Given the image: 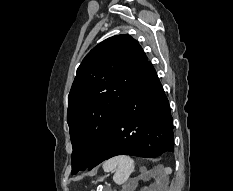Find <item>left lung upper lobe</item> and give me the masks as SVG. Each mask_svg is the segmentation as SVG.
I'll return each mask as SVG.
<instances>
[{"instance_id": "5c2ea615", "label": "left lung upper lobe", "mask_w": 233, "mask_h": 191, "mask_svg": "<svg viewBox=\"0 0 233 191\" xmlns=\"http://www.w3.org/2000/svg\"><path fill=\"white\" fill-rule=\"evenodd\" d=\"M147 61L128 34L104 40L83 59L68 97L72 175L91 164Z\"/></svg>"}]
</instances>
